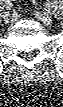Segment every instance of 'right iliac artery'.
Wrapping results in <instances>:
<instances>
[{
	"label": "right iliac artery",
	"instance_id": "1",
	"mask_svg": "<svg viewBox=\"0 0 63 107\" xmlns=\"http://www.w3.org/2000/svg\"><path fill=\"white\" fill-rule=\"evenodd\" d=\"M4 7L6 8V10H10L12 7L11 1L10 0L4 1Z\"/></svg>",
	"mask_w": 63,
	"mask_h": 107
}]
</instances>
